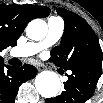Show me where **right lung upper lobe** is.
Returning <instances> with one entry per match:
<instances>
[{
	"mask_svg": "<svg viewBox=\"0 0 103 103\" xmlns=\"http://www.w3.org/2000/svg\"><path fill=\"white\" fill-rule=\"evenodd\" d=\"M49 13L50 9L44 6L0 4V52L17 45L16 41L29 21L46 17Z\"/></svg>",
	"mask_w": 103,
	"mask_h": 103,
	"instance_id": "cb5924a9",
	"label": "right lung upper lobe"
}]
</instances>
